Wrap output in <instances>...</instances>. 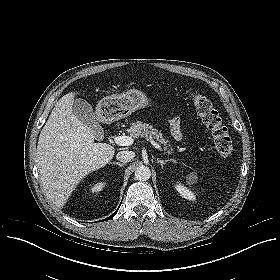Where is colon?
<instances>
[{
  "instance_id": "colon-1",
  "label": "colon",
  "mask_w": 280,
  "mask_h": 280,
  "mask_svg": "<svg viewBox=\"0 0 280 280\" xmlns=\"http://www.w3.org/2000/svg\"><path fill=\"white\" fill-rule=\"evenodd\" d=\"M188 98L194 104L202 122L211 131L219 155L223 158H229L233 152L231 138L214 104L206 97L195 92L189 93Z\"/></svg>"
}]
</instances>
